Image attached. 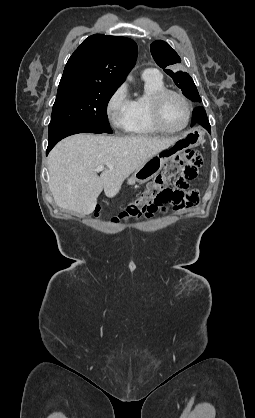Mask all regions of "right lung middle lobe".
Returning <instances> with one entry per match:
<instances>
[{
	"label": "right lung middle lobe",
	"mask_w": 255,
	"mask_h": 418,
	"mask_svg": "<svg viewBox=\"0 0 255 418\" xmlns=\"http://www.w3.org/2000/svg\"><path fill=\"white\" fill-rule=\"evenodd\" d=\"M116 90L115 87L100 85H59L49 129L64 125H83L111 134L107 104Z\"/></svg>",
	"instance_id": "dd1d6c3e"
}]
</instances>
